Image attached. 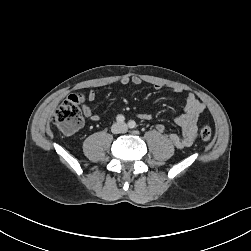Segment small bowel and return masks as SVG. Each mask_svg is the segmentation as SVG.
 <instances>
[{"label": "small bowel", "mask_w": 251, "mask_h": 251, "mask_svg": "<svg viewBox=\"0 0 251 251\" xmlns=\"http://www.w3.org/2000/svg\"><path fill=\"white\" fill-rule=\"evenodd\" d=\"M142 80L138 76L128 77L124 76L120 79L122 85H140ZM154 88L159 90L162 88L161 84H154ZM176 93H181L182 89L175 88ZM88 101H94L96 99V92L90 90L87 94ZM205 109V105L193 94L188 93L186 96V102L184 105V112L180 115H174L172 117L174 123L182 128V135H178L174 132L169 133L168 137L173 146L178 149H185L192 146L197 138L198 134V120L200 115ZM82 112L91 121H99L100 115L95 113L88 105H82ZM137 118L141 120H150L151 114L149 113H138ZM156 129L159 132H166L167 128L158 124Z\"/></svg>", "instance_id": "c3829d8e"}]
</instances>
